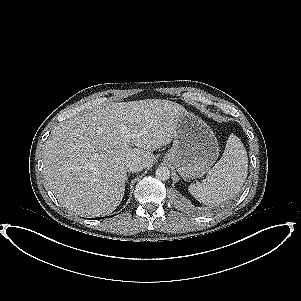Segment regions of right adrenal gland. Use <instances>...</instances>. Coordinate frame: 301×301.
Segmentation results:
<instances>
[{
  "instance_id": "obj_1",
  "label": "right adrenal gland",
  "mask_w": 301,
  "mask_h": 301,
  "mask_svg": "<svg viewBox=\"0 0 301 301\" xmlns=\"http://www.w3.org/2000/svg\"><path fill=\"white\" fill-rule=\"evenodd\" d=\"M128 177H129V175L126 177V182H127V180H128Z\"/></svg>"
}]
</instances>
